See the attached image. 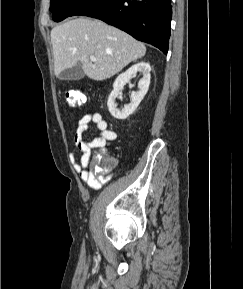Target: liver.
Instances as JSON below:
<instances>
[{
    "label": "liver",
    "mask_w": 243,
    "mask_h": 289,
    "mask_svg": "<svg viewBox=\"0 0 243 289\" xmlns=\"http://www.w3.org/2000/svg\"><path fill=\"white\" fill-rule=\"evenodd\" d=\"M56 76L80 65L88 78L102 81L146 53L143 43L97 19L80 17L51 30ZM90 56L97 61L92 62Z\"/></svg>",
    "instance_id": "obj_1"
}]
</instances>
